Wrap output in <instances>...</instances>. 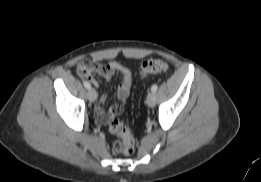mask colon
Returning <instances> with one entry per match:
<instances>
[{"mask_svg":"<svg viewBox=\"0 0 261 182\" xmlns=\"http://www.w3.org/2000/svg\"><path fill=\"white\" fill-rule=\"evenodd\" d=\"M168 64L161 59L149 58L141 65L140 74L146 77L150 74L163 73L167 71ZM78 73L88 75L89 69L86 65H78ZM109 130L119 139L113 143V150L123 155H131L135 151L136 142L130 129L119 119H112Z\"/></svg>","mask_w":261,"mask_h":182,"instance_id":"obj_1","label":"colon"}]
</instances>
